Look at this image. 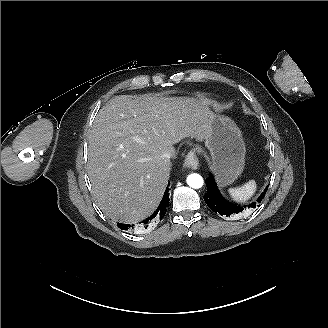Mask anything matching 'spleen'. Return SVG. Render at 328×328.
<instances>
[{"label":"spleen","mask_w":328,"mask_h":328,"mask_svg":"<svg viewBox=\"0 0 328 328\" xmlns=\"http://www.w3.org/2000/svg\"><path fill=\"white\" fill-rule=\"evenodd\" d=\"M256 189L255 180H250L241 187L229 188L228 192L234 201L243 203L254 195Z\"/></svg>","instance_id":"obj_1"}]
</instances>
